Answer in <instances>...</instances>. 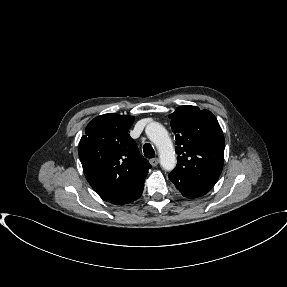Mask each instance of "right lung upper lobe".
<instances>
[{
	"instance_id": "1",
	"label": "right lung upper lobe",
	"mask_w": 287,
	"mask_h": 287,
	"mask_svg": "<svg viewBox=\"0 0 287 287\" xmlns=\"http://www.w3.org/2000/svg\"><path fill=\"white\" fill-rule=\"evenodd\" d=\"M134 117L104 114L94 118L82 136L78 154L87 181L95 192L115 205L138 199L150 163L128 134Z\"/></svg>"
}]
</instances>
